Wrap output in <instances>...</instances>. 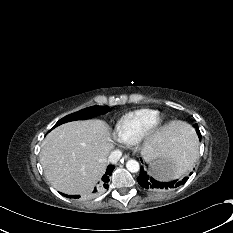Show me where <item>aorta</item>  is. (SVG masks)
I'll return each instance as SVG.
<instances>
[{"instance_id":"aorta-1","label":"aorta","mask_w":233,"mask_h":233,"mask_svg":"<svg viewBox=\"0 0 233 233\" xmlns=\"http://www.w3.org/2000/svg\"><path fill=\"white\" fill-rule=\"evenodd\" d=\"M126 168L128 171L132 172V173H136L139 171L140 166L138 161L134 160V159H130L126 162Z\"/></svg>"}]
</instances>
